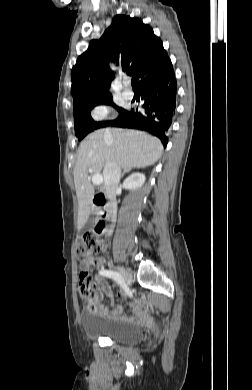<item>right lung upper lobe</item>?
<instances>
[{"mask_svg": "<svg viewBox=\"0 0 252 390\" xmlns=\"http://www.w3.org/2000/svg\"><path fill=\"white\" fill-rule=\"evenodd\" d=\"M133 74L137 85L148 77L172 69L161 39L152 28L138 18L116 15L99 40L90 45L77 59L71 71V93L74 108L91 101L112 96L108 89L114 79L109 62Z\"/></svg>", "mask_w": 252, "mask_h": 390, "instance_id": "cb5924a9", "label": "right lung upper lobe"}]
</instances>
